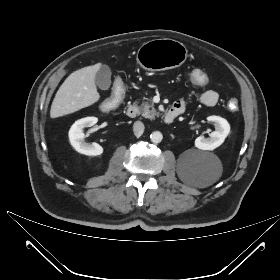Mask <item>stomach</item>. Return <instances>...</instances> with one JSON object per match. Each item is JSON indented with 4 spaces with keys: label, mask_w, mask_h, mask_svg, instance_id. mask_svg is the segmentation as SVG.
<instances>
[{
    "label": "stomach",
    "mask_w": 280,
    "mask_h": 280,
    "mask_svg": "<svg viewBox=\"0 0 280 280\" xmlns=\"http://www.w3.org/2000/svg\"><path fill=\"white\" fill-rule=\"evenodd\" d=\"M188 50L181 42L164 38L154 39L141 45L137 62L148 71H164L181 66L187 59Z\"/></svg>",
    "instance_id": "stomach-1"
}]
</instances>
